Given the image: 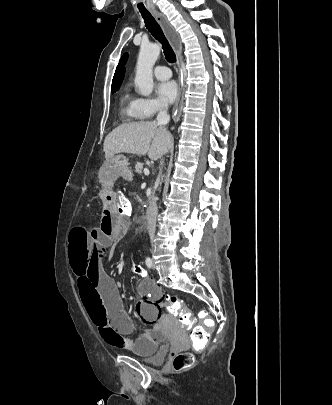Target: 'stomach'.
Segmentation results:
<instances>
[{"mask_svg":"<svg viewBox=\"0 0 332 405\" xmlns=\"http://www.w3.org/2000/svg\"><path fill=\"white\" fill-rule=\"evenodd\" d=\"M112 159H114L116 161L115 168L118 171V174H125L128 172V170H129L128 158H126L123 155H117V156L113 157Z\"/></svg>","mask_w":332,"mask_h":405,"instance_id":"0dacf381","label":"stomach"}]
</instances>
